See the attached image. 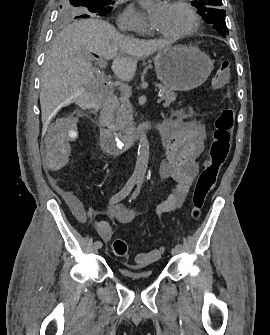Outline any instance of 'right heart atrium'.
Instances as JSON below:
<instances>
[{
    "mask_svg": "<svg viewBox=\"0 0 270 335\" xmlns=\"http://www.w3.org/2000/svg\"><path fill=\"white\" fill-rule=\"evenodd\" d=\"M118 25H136V34L147 33V25L140 12L134 6H128L119 16Z\"/></svg>",
    "mask_w": 270,
    "mask_h": 335,
    "instance_id": "d8ad5b80",
    "label": "right heart atrium"
}]
</instances>
